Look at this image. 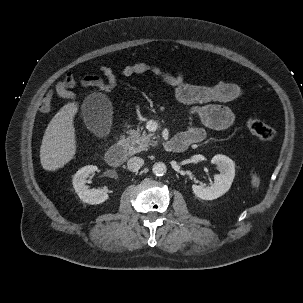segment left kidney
Listing matches in <instances>:
<instances>
[{
	"instance_id": "obj_1",
	"label": "left kidney",
	"mask_w": 303,
	"mask_h": 303,
	"mask_svg": "<svg viewBox=\"0 0 303 303\" xmlns=\"http://www.w3.org/2000/svg\"><path fill=\"white\" fill-rule=\"evenodd\" d=\"M211 163L216 164L220 171V174L214 176V184L207 187L192 185L193 193L202 200H214L224 195L230 189L235 176V165L229 157L218 154L211 159Z\"/></svg>"
}]
</instances>
